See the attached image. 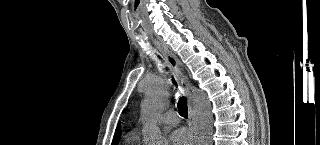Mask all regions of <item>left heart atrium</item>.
<instances>
[{
  "mask_svg": "<svg viewBox=\"0 0 320 145\" xmlns=\"http://www.w3.org/2000/svg\"><path fill=\"white\" fill-rule=\"evenodd\" d=\"M168 143L169 145H190L191 137L184 129H178L170 135Z\"/></svg>",
  "mask_w": 320,
  "mask_h": 145,
  "instance_id": "left-heart-atrium-1",
  "label": "left heart atrium"
}]
</instances>
